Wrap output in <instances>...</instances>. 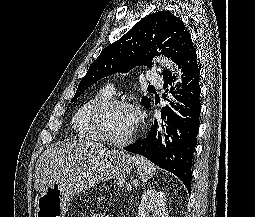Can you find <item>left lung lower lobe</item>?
I'll list each match as a JSON object with an SVG mask.
<instances>
[{"label": "left lung lower lobe", "instance_id": "left-lung-lower-lobe-1", "mask_svg": "<svg viewBox=\"0 0 255 217\" xmlns=\"http://www.w3.org/2000/svg\"><path fill=\"white\" fill-rule=\"evenodd\" d=\"M176 64L182 73V90L177 88L172 73H163L164 89L170 97L163 95L168 104L161 110L162 120L154 122L146 138L124 149L143 155L157 166L175 174L190 192L192 158L201 112L200 71L193 45L180 55ZM176 100L181 104L176 103Z\"/></svg>", "mask_w": 255, "mask_h": 217}]
</instances>
